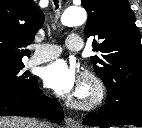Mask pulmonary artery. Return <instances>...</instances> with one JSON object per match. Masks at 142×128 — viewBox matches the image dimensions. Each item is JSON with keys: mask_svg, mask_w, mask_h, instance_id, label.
Here are the masks:
<instances>
[{"mask_svg": "<svg viewBox=\"0 0 142 128\" xmlns=\"http://www.w3.org/2000/svg\"><path fill=\"white\" fill-rule=\"evenodd\" d=\"M66 47L70 51H80L83 48V41L77 34H70L66 39ZM62 48L55 44H43L35 47L33 56L28 61V66L32 67L47 62L59 56Z\"/></svg>", "mask_w": 142, "mask_h": 128, "instance_id": "pulmonary-artery-1", "label": "pulmonary artery"}]
</instances>
